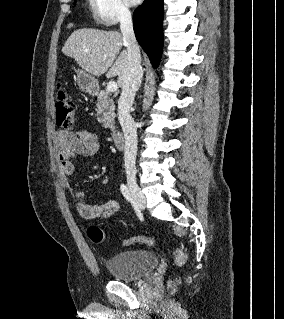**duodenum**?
Listing matches in <instances>:
<instances>
[{
  "mask_svg": "<svg viewBox=\"0 0 284 319\" xmlns=\"http://www.w3.org/2000/svg\"><path fill=\"white\" fill-rule=\"evenodd\" d=\"M111 135H112V140L114 145L118 148L121 149L125 145V137L124 134L118 130V129H112L111 130Z\"/></svg>",
  "mask_w": 284,
  "mask_h": 319,
  "instance_id": "410a0bca",
  "label": "duodenum"
}]
</instances>
